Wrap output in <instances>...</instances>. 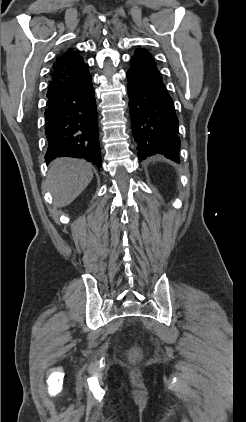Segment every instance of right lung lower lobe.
I'll list each match as a JSON object with an SVG mask.
<instances>
[{"mask_svg": "<svg viewBox=\"0 0 246 422\" xmlns=\"http://www.w3.org/2000/svg\"><path fill=\"white\" fill-rule=\"evenodd\" d=\"M47 97L46 162L68 156L83 158L100 168L97 107L91 75Z\"/></svg>", "mask_w": 246, "mask_h": 422, "instance_id": "98d812e1", "label": "right lung lower lobe"}]
</instances>
